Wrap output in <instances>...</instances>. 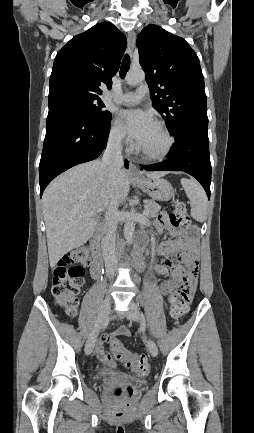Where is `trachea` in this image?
<instances>
[{"label":"trachea","instance_id":"3493384b","mask_svg":"<svg viewBox=\"0 0 254 433\" xmlns=\"http://www.w3.org/2000/svg\"><path fill=\"white\" fill-rule=\"evenodd\" d=\"M130 68V57L128 54H126L123 58L121 67H120V78L124 79L128 70Z\"/></svg>","mask_w":254,"mask_h":433}]
</instances>
